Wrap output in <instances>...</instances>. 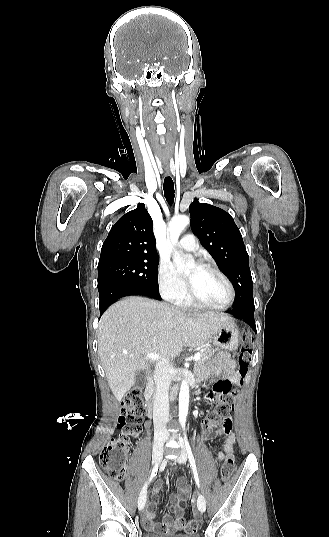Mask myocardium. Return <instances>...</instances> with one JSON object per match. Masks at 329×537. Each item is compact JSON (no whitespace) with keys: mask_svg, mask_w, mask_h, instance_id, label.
Wrapping results in <instances>:
<instances>
[{"mask_svg":"<svg viewBox=\"0 0 329 537\" xmlns=\"http://www.w3.org/2000/svg\"><path fill=\"white\" fill-rule=\"evenodd\" d=\"M201 268H204L206 270H209V271H212L214 273H216L218 276H220L223 281L225 282V284L227 285L228 287V290H229V299L228 301L223 304V305H212V304H209V303H206L204 302L203 300L199 299L195 293L193 292L191 286H189V299L196 305V306H199V307H202V308H206V309H211V310H225V309H228L230 308L234 302H235V298H236V293H235V289H234V286L231 282V280L228 278V276L222 272L218 267L212 265V264H209V263H203L200 265Z\"/></svg>","mask_w":329,"mask_h":537,"instance_id":"obj_1","label":"myocardium"}]
</instances>
